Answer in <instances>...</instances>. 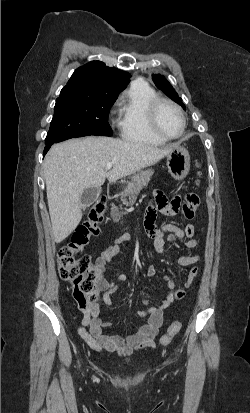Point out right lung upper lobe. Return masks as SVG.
Masks as SVG:
<instances>
[{
    "label": "right lung upper lobe",
    "instance_id": "cb5924a9",
    "mask_svg": "<svg viewBox=\"0 0 250 413\" xmlns=\"http://www.w3.org/2000/svg\"><path fill=\"white\" fill-rule=\"evenodd\" d=\"M130 77L128 72L107 67L101 61H92L76 69L64 88L118 94L126 87Z\"/></svg>",
    "mask_w": 250,
    "mask_h": 413
}]
</instances>
